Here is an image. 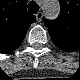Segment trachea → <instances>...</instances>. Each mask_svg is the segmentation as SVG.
<instances>
[{
	"label": "trachea",
	"mask_w": 80,
	"mask_h": 80,
	"mask_svg": "<svg viewBox=\"0 0 80 80\" xmlns=\"http://www.w3.org/2000/svg\"><path fill=\"white\" fill-rule=\"evenodd\" d=\"M27 7L31 13L35 14L39 11V5L35 1H30Z\"/></svg>",
	"instance_id": "1"
}]
</instances>
